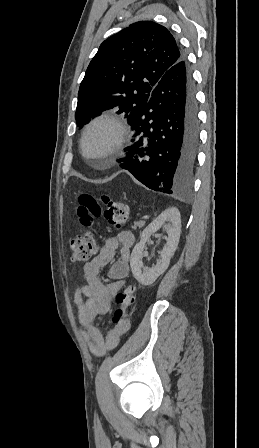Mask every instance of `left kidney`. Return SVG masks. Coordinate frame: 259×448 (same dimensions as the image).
Returning a JSON list of instances; mask_svg holds the SVG:
<instances>
[{
    "label": "left kidney",
    "mask_w": 259,
    "mask_h": 448,
    "mask_svg": "<svg viewBox=\"0 0 259 448\" xmlns=\"http://www.w3.org/2000/svg\"><path fill=\"white\" fill-rule=\"evenodd\" d=\"M168 222V224H165ZM166 228L168 238L167 244L164 246L160 260H157L156 266L153 268H145L142 262V254L144 252L145 244L149 240L152 234H155L159 228ZM181 232V216L178 208H168L165 212H162L152 224H149L145 230H143L140 236L139 244H136L132 250L130 266L132 274L142 286H151L157 280L158 276L166 272L174 252L178 246Z\"/></svg>",
    "instance_id": "left-kidney-1"
}]
</instances>
